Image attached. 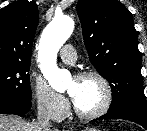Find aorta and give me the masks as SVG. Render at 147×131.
Instances as JSON below:
<instances>
[{
  "instance_id": "obj_1",
  "label": "aorta",
  "mask_w": 147,
  "mask_h": 131,
  "mask_svg": "<svg viewBox=\"0 0 147 131\" xmlns=\"http://www.w3.org/2000/svg\"><path fill=\"white\" fill-rule=\"evenodd\" d=\"M73 29L74 21L71 17H55L44 29L37 47L41 72L51 88L58 92L64 91L71 81L68 70L58 68L56 58Z\"/></svg>"
}]
</instances>
